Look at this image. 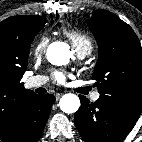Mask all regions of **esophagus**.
Masks as SVG:
<instances>
[{"mask_svg": "<svg viewBox=\"0 0 142 142\" xmlns=\"http://www.w3.org/2000/svg\"><path fill=\"white\" fill-rule=\"evenodd\" d=\"M61 96H62L61 93H57V94L55 95L56 100L58 101V100L61 98Z\"/></svg>", "mask_w": 142, "mask_h": 142, "instance_id": "1", "label": "esophagus"}]
</instances>
